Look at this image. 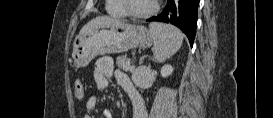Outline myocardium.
Instances as JSON below:
<instances>
[{
  "mask_svg": "<svg viewBox=\"0 0 273 118\" xmlns=\"http://www.w3.org/2000/svg\"><path fill=\"white\" fill-rule=\"evenodd\" d=\"M122 1H123V5H124V8H125L126 14L128 16H130L132 18H136V19L149 18V17L153 16L159 9V1L158 0H154L151 8H149L145 12H135V11L130 9L129 0H122Z\"/></svg>",
  "mask_w": 273,
  "mask_h": 118,
  "instance_id": "f54148a6",
  "label": "myocardium"
}]
</instances>
